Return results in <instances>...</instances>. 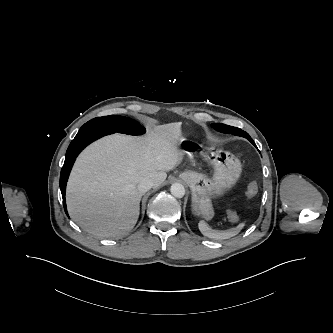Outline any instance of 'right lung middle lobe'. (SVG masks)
<instances>
[{"label": "right lung middle lobe", "mask_w": 333, "mask_h": 333, "mask_svg": "<svg viewBox=\"0 0 333 333\" xmlns=\"http://www.w3.org/2000/svg\"><path fill=\"white\" fill-rule=\"evenodd\" d=\"M91 129H107L131 135H139L145 132V128L135 120L115 115L94 118L85 123L79 131Z\"/></svg>", "instance_id": "obj_1"}]
</instances>
